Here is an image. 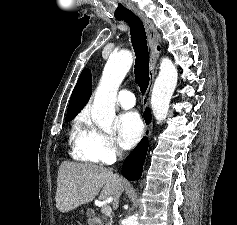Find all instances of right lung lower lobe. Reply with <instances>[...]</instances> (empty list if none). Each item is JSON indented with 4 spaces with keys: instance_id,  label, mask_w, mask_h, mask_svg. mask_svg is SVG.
I'll list each match as a JSON object with an SVG mask.
<instances>
[{
    "instance_id": "obj_1",
    "label": "right lung lower lobe",
    "mask_w": 237,
    "mask_h": 225,
    "mask_svg": "<svg viewBox=\"0 0 237 225\" xmlns=\"http://www.w3.org/2000/svg\"><path fill=\"white\" fill-rule=\"evenodd\" d=\"M147 123L151 120V113L147 108L144 113ZM148 140L144 137L123 163V173L128 180H139L142 175L143 164L147 155Z\"/></svg>"
}]
</instances>
